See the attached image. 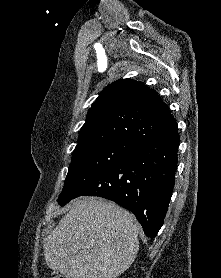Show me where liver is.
Wrapping results in <instances>:
<instances>
[{
	"instance_id": "6515ba94",
	"label": "liver",
	"mask_w": 221,
	"mask_h": 278,
	"mask_svg": "<svg viewBox=\"0 0 221 278\" xmlns=\"http://www.w3.org/2000/svg\"><path fill=\"white\" fill-rule=\"evenodd\" d=\"M138 231L134 216L117 204L81 197L45 239V260L67 278H117L136 258Z\"/></svg>"
}]
</instances>
